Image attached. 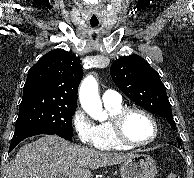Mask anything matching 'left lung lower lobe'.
<instances>
[{
    "mask_svg": "<svg viewBox=\"0 0 194 178\" xmlns=\"http://www.w3.org/2000/svg\"><path fill=\"white\" fill-rule=\"evenodd\" d=\"M177 142H178V144H179V145H181V140H180V139H177ZM168 144L173 145V143H172V142H168Z\"/></svg>",
    "mask_w": 194,
    "mask_h": 178,
    "instance_id": "1",
    "label": "left lung lower lobe"
}]
</instances>
